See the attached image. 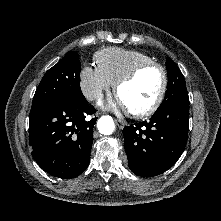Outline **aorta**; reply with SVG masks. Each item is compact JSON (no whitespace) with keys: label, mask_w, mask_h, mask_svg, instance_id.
<instances>
[{"label":"aorta","mask_w":221,"mask_h":221,"mask_svg":"<svg viewBox=\"0 0 221 221\" xmlns=\"http://www.w3.org/2000/svg\"><path fill=\"white\" fill-rule=\"evenodd\" d=\"M97 128L103 135H110L115 129V124L110 116H102L97 122Z\"/></svg>","instance_id":"aorta-1"}]
</instances>
